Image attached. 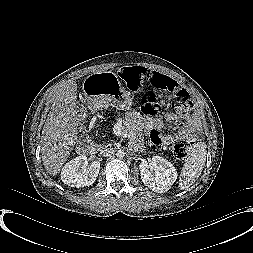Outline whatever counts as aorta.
Listing matches in <instances>:
<instances>
[{
	"mask_svg": "<svg viewBox=\"0 0 253 253\" xmlns=\"http://www.w3.org/2000/svg\"><path fill=\"white\" fill-rule=\"evenodd\" d=\"M117 153H118L119 157H123V156L125 155L126 152H125L124 149L121 148V149L118 150Z\"/></svg>",
	"mask_w": 253,
	"mask_h": 253,
	"instance_id": "obj_1",
	"label": "aorta"
}]
</instances>
